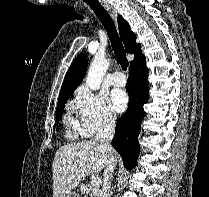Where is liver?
Instances as JSON below:
<instances>
[{
	"mask_svg": "<svg viewBox=\"0 0 209 197\" xmlns=\"http://www.w3.org/2000/svg\"><path fill=\"white\" fill-rule=\"evenodd\" d=\"M107 159L104 144L96 138L61 146L52 163L53 197H65L87 176L104 169Z\"/></svg>",
	"mask_w": 209,
	"mask_h": 197,
	"instance_id": "1",
	"label": "liver"
}]
</instances>
